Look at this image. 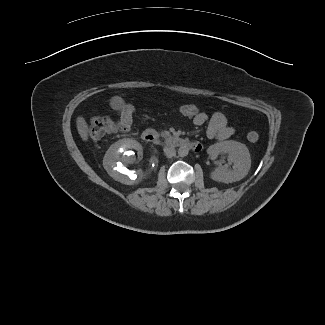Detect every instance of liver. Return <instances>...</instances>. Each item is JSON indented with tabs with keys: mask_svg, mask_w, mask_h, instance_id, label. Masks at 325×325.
<instances>
[{
	"mask_svg": "<svg viewBox=\"0 0 325 325\" xmlns=\"http://www.w3.org/2000/svg\"><path fill=\"white\" fill-rule=\"evenodd\" d=\"M125 101L120 96L111 98L110 105L115 110H120L124 106ZM77 130L83 141L87 142L89 139V127L86 120L82 116H78L76 120Z\"/></svg>",
	"mask_w": 325,
	"mask_h": 325,
	"instance_id": "1",
	"label": "liver"
}]
</instances>
